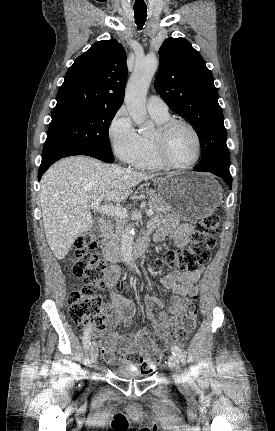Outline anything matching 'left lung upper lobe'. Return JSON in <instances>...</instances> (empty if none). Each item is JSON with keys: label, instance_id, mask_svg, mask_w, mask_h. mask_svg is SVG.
<instances>
[{"label": "left lung upper lobe", "instance_id": "left-lung-upper-lobe-1", "mask_svg": "<svg viewBox=\"0 0 275 431\" xmlns=\"http://www.w3.org/2000/svg\"><path fill=\"white\" fill-rule=\"evenodd\" d=\"M159 56L155 89L175 113L194 126L202 151L195 167L229 171L224 117L213 75L204 59L184 38L166 39Z\"/></svg>", "mask_w": 275, "mask_h": 431}]
</instances>
